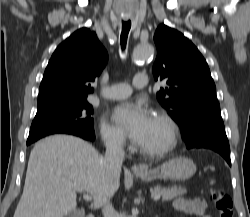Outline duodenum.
<instances>
[{
  "label": "duodenum",
  "mask_w": 250,
  "mask_h": 217,
  "mask_svg": "<svg viewBox=\"0 0 250 217\" xmlns=\"http://www.w3.org/2000/svg\"><path fill=\"white\" fill-rule=\"evenodd\" d=\"M85 217H94L93 215H91V214H88V215H86Z\"/></svg>",
  "instance_id": "1"
}]
</instances>
